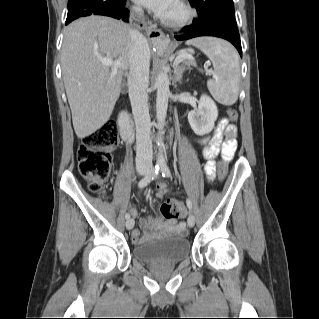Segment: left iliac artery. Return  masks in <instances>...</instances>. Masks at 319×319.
<instances>
[{
    "label": "left iliac artery",
    "instance_id": "obj_1",
    "mask_svg": "<svg viewBox=\"0 0 319 319\" xmlns=\"http://www.w3.org/2000/svg\"><path fill=\"white\" fill-rule=\"evenodd\" d=\"M160 170H161L163 177H170L171 172H170V169L165 162L161 163ZM186 204H187V207L191 210L192 209V202L189 199H187Z\"/></svg>",
    "mask_w": 319,
    "mask_h": 319
}]
</instances>
